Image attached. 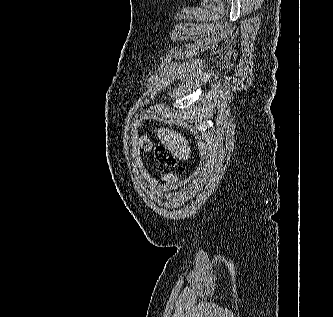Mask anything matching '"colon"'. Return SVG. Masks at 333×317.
<instances>
[{"label":"colon","instance_id":"5ec220e1","mask_svg":"<svg viewBox=\"0 0 333 317\" xmlns=\"http://www.w3.org/2000/svg\"><path fill=\"white\" fill-rule=\"evenodd\" d=\"M155 156H156V159L163 165H166V166H175L176 165L175 157L164 146L159 145L155 148ZM179 170L183 171V168L179 167Z\"/></svg>","mask_w":333,"mask_h":317}]
</instances>
